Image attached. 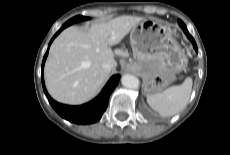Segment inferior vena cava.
I'll use <instances>...</instances> for the list:
<instances>
[{"label": "inferior vena cava", "instance_id": "inferior-vena-cava-1", "mask_svg": "<svg viewBox=\"0 0 230 155\" xmlns=\"http://www.w3.org/2000/svg\"><path fill=\"white\" fill-rule=\"evenodd\" d=\"M115 64H116V62L114 60H108V61L103 63V68L106 71L110 72L112 69L115 68Z\"/></svg>", "mask_w": 230, "mask_h": 155}]
</instances>
